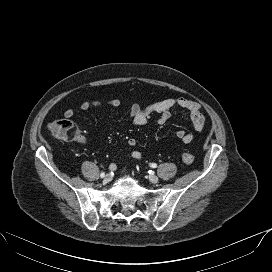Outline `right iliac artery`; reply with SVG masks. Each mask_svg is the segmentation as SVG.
Masks as SVG:
<instances>
[{
    "label": "right iliac artery",
    "instance_id": "1",
    "mask_svg": "<svg viewBox=\"0 0 272 272\" xmlns=\"http://www.w3.org/2000/svg\"><path fill=\"white\" fill-rule=\"evenodd\" d=\"M100 176H101V178H103V177L105 176V173L102 172V173L100 174Z\"/></svg>",
    "mask_w": 272,
    "mask_h": 272
}]
</instances>
